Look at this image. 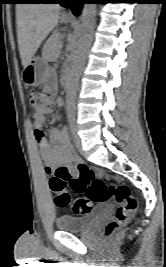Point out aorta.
<instances>
[{"mask_svg": "<svg viewBox=\"0 0 166 267\" xmlns=\"http://www.w3.org/2000/svg\"><path fill=\"white\" fill-rule=\"evenodd\" d=\"M95 14L96 4L85 3L81 14L78 47L73 58L70 77L68 80L66 98L67 107L69 109H72L74 107V99L79 82V77L84 64L85 51L92 38V32L95 24Z\"/></svg>", "mask_w": 166, "mask_h": 267, "instance_id": "1", "label": "aorta"}]
</instances>
